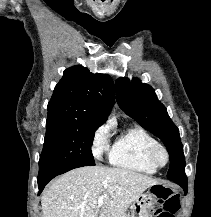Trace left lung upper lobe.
<instances>
[{"mask_svg": "<svg viewBox=\"0 0 211 217\" xmlns=\"http://www.w3.org/2000/svg\"><path fill=\"white\" fill-rule=\"evenodd\" d=\"M116 98L127 115L163 141L170 157L167 178L175 183H187L185 157L178 127L157 99L153 88L141 83L137 78L131 82L127 78H119L116 82Z\"/></svg>", "mask_w": 211, "mask_h": 217, "instance_id": "5c2ea615", "label": "left lung upper lobe"}]
</instances>
